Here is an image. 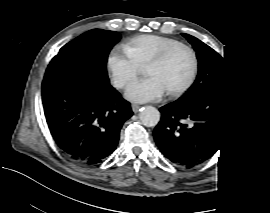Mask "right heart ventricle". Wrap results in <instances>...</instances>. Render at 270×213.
<instances>
[{"instance_id": "1", "label": "right heart ventricle", "mask_w": 270, "mask_h": 213, "mask_svg": "<svg viewBox=\"0 0 270 213\" xmlns=\"http://www.w3.org/2000/svg\"><path fill=\"white\" fill-rule=\"evenodd\" d=\"M179 44L173 38L146 34L134 38L126 47V53L133 62L147 66L159 53Z\"/></svg>"}]
</instances>
